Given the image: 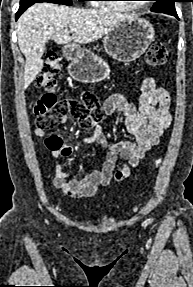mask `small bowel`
<instances>
[{"instance_id": "obj_1", "label": "small bowel", "mask_w": 193, "mask_h": 287, "mask_svg": "<svg viewBox=\"0 0 193 287\" xmlns=\"http://www.w3.org/2000/svg\"><path fill=\"white\" fill-rule=\"evenodd\" d=\"M170 97L168 92L157 87L153 76L144 79L139 102L128 101L121 93L108 96L103 102L106 115L120 111L125 115V127L135 136V141L110 142L102 129L97 126L91 136H84V143H98L107 149V155L101 167L93 170L82 179H74L66 171L63 159L71 155V149L76 148V142H66L65 132H53L47 136V131L35 129L34 134L45 137V148L52 152L54 162V185L67 195L74 197H89L112 181L120 182L128 178L132 170L137 168L146 152L155 146L163 132L171 123L169 113ZM68 115L60 118L61 124L68 123ZM70 149V150H69ZM118 159L122 164L115 170Z\"/></svg>"}]
</instances>
